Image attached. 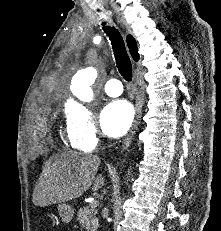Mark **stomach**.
I'll use <instances>...</instances> for the list:
<instances>
[{"label":"stomach","instance_id":"0dacf381","mask_svg":"<svg viewBox=\"0 0 221 231\" xmlns=\"http://www.w3.org/2000/svg\"><path fill=\"white\" fill-rule=\"evenodd\" d=\"M58 212L59 216L65 223H69L74 216V209L71 205L66 204V203H60L58 204Z\"/></svg>","mask_w":221,"mask_h":231}]
</instances>
